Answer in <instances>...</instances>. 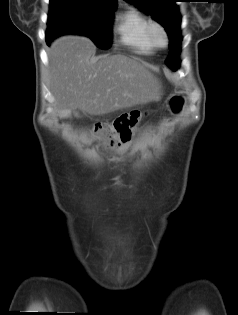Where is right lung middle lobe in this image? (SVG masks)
<instances>
[{"label":"right lung middle lobe","instance_id":"obj_1","mask_svg":"<svg viewBox=\"0 0 238 315\" xmlns=\"http://www.w3.org/2000/svg\"><path fill=\"white\" fill-rule=\"evenodd\" d=\"M116 6L108 7L87 0H50L46 42L63 34L89 37L99 48L111 46V24Z\"/></svg>","mask_w":238,"mask_h":315}]
</instances>
